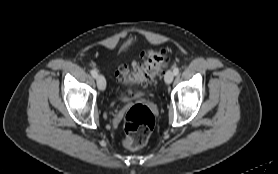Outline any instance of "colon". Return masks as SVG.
<instances>
[{
	"label": "colon",
	"instance_id": "5ec220e1",
	"mask_svg": "<svg viewBox=\"0 0 278 174\" xmlns=\"http://www.w3.org/2000/svg\"><path fill=\"white\" fill-rule=\"evenodd\" d=\"M166 54L161 50H148L140 61L133 62L130 68L122 67L117 76L128 85H147L152 83L164 67ZM155 126L151 110L144 105L133 106L124 118L125 147L136 150L143 147Z\"/></svg>",
	"mask_w": 278,
	"mask_h": 174
}]
</instances>
